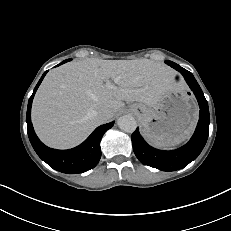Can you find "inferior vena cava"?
Listing matches in <instances>:
<instances>
[{
	"mask_svg": "<svg viewBox=\"0 0 231 231\" xmlns=\"http://www.w3.org/2000/svg\"><path fill=\"white\" fill-rule=\"evenodd\" d=\"M98 118L101 120L102 123H105L111 118V115L107 110H102L98 113Z\"/></svg>",
	"mask_w": 231,
	"mask_h": 231,
	"instance_id": "obj_1",
	"label": "inferior vena cava"
}]
</instances>
